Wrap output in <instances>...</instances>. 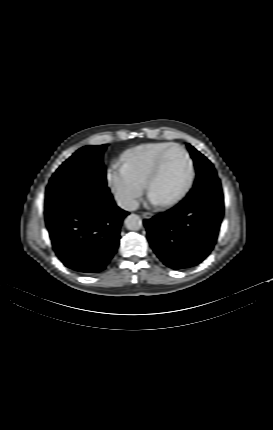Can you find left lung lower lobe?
Returning a JSON list of instances; mask_svg holds the SVG:
<instances>
[{"label":"left lung lower lobe","mask_w":273,"mask_h":430,"mask_svg":"<svg viewBox=\"0 0 273 430\" xmlns=\"http://www.w3.org/2000/svg\"><path fill=\"white\" fill-rule=\"evenodd\" d=\"M224 214L220 180L207 176L177 206L144 220L153 250L168 267L180 270L202 262L212 251Z\"/></svg>","instance_id":"obj_1"}]
</instances>
